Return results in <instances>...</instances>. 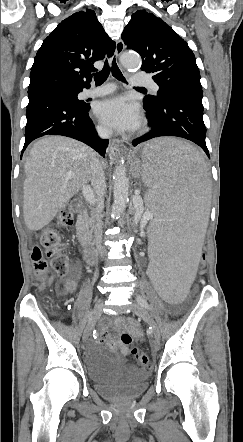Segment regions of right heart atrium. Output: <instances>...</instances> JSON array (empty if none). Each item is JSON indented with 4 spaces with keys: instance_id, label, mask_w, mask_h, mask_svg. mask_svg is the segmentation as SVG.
<instances>
[{
    "instance_id": "right-heart-atrium-1",
    "label": "right heart atrium",
    "mask_w": 243,
    "mask_h": 442,
    "mask_svg": "<svg viewBox=\"0 0 243 442\" xmlns=\"http://www.w3.org/2000/svg\"><path fill=\"white\" fill-rule=\"evenodd\" d=\"M98 131L100 133H102V134H106L107 133V130L104 127H102V126H98Z\"/></svg>"
}]
</instances>
